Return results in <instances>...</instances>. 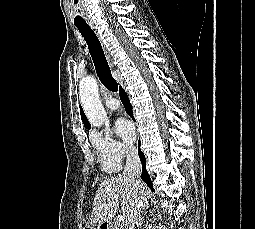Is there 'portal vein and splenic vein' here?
Here are the masks:
<instances>
[{
  "label": "portal vein and splenic vein",
  "mask_w": 255,
  "mask_h": 229,
  "mask_svg": "<svg viewBox=\"0 0 255 229\" xmlns=\"http://www.w3.org/2000/svg\"><path fill=\"white\" fill-rule=\"evenodd\" d=\"M118 196H115V198H117ZM124 221V216L122 215V214H120V215H118L117 216V222L118 223H121V222H123Z\"/></svg>",
  "instance_id": "1"
}]
</instances>
